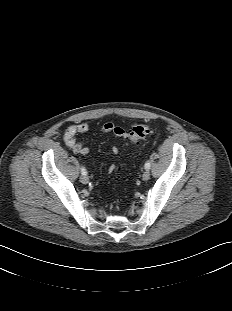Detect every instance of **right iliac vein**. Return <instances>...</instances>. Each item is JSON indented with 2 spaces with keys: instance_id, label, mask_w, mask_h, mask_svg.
I'll return each instance as SVG.
<instances>
[{
  "instance_id": "right-iliac-vein-1",
  "label": "right iliac vein",
  "mask_w": 232,
  "mask_h": 311,
  "mask_svg": "<svg viewBox=\"0 0 232 311\" xmlns=\"http://www.w3.org/2000/svg\"><path fill=\"white\" fill-rule=\"evenodd\" d=\"M80 181L83 183V184H87L89 182V178L86 176V175H82L80 177Z\"/></svg>"
}]
</instances>
